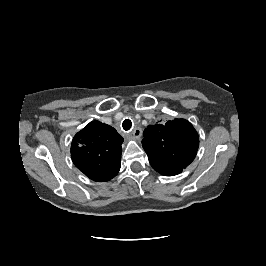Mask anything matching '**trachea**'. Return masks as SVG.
Here are the masks:
<instances>
[{"label": "trachea", "instance_id": "1", "mask_svg": "<svg viewBox=\"0 0 266 266\" xmlns=\"http://www.w3.org/2000/svg\"><path fill=\"white\" fill-rule=\"evenodd\" d=\"M122 127H123V129H124L125 131L130 130L131 127H132V122H131V120H129V119H125V120L123 121V123H122Z\"/></svg>", "mask_w": 266, "mask_h": 266}]
</instances>
